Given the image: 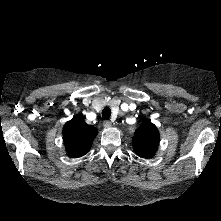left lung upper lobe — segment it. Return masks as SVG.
<instances>
[{
  "instance_id": "1",
  "label": "left lung upper lobe",
  "mask_w": 221,
  "mask_h": 221,
  "mask_svg": "<svg viewBox=\"0 0 221 221\" xmlns=\"http://www.w3.org/2000/svg\"><path fill=\"white\" fill-rule=\"evenodd\" d=\"M159 141L160 134L157 127L150 121L144 120L134 133L132 145L138 156L150 158L155 155Z\"/></svg>"
}]
</instances>
